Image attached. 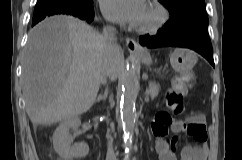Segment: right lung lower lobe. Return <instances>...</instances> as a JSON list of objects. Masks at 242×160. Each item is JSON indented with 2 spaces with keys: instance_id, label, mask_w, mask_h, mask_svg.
Returning <instances> with one entry per match:
<instances>
[{
  "instance_id": "1",
  "label": "right lung lower lobe",
  "mask_w": 242,
  "mask_h": 160,
  "mask_svg": "<svg viewBox=\"0 0 242 160\" xmlns=\"http://www.w3.org/2000/svg\"><path fill=\"white\" fill-rule=\"evenodd\" d=\"M52 15H69V16H75L82 20H86L88 22H91L94 19V10H87V11H60V10H53L48 13L40 14L38 16L33 17L32 26L37 24L39 21L44 19L45 17L52 16Z\"/></svg>"
}]
</instances>
